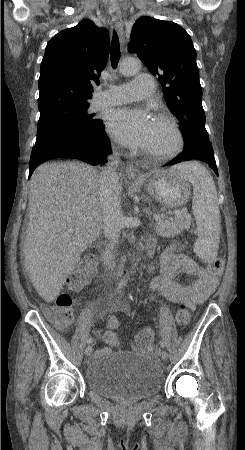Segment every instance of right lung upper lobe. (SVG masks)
Here are the masks:
<instances>
[{"instance_id":"obj_1","label":"right lung upper lobe","mask_w":245,"mask_h":450,"mask_svg":"<svg viewBox=\"0 0 245 450\" xmlns=\"http://www.w3.org/2000/svg\"><path fill=\"white\" fill-rule=\"evenodd\" d=\"M110 39L106 29L84 20L47 44L39 78L38 107L89 104L93 84L105 68Z\"/></svg>"}]
</instances>
